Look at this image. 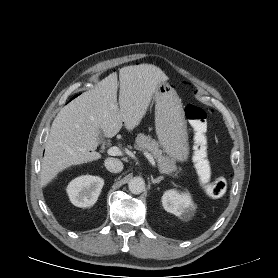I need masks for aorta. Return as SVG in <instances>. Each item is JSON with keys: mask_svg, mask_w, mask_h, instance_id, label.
I'll return each mask as SVG.
<instances>
[{"mask_svg": "<svg viewBox=\"0 0 278 278\" xmlns=\"http://www.w3.org/2000/svg\"><path fill=\"white\" fill-rule=\"evenodd\" d=\"M129 191L133 194H140L145 189V182L141 177H134L128 184Z\"/></svg>", "mask_w": 278, "mask_h": 278, "instance_id": "762f6f07", "label": "aorta"}]
</instances>
